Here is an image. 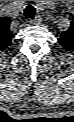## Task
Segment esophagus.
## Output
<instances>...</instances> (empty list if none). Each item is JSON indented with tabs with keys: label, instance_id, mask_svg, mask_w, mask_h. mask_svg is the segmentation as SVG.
<instances>
[{
	"label": "esophagus",
	"instance_id": "esophagus-1",
	"mask_svg": "<svg viewBox=\"0 0 74 122\" xmlns=\"http://www.w3.org/2000/svg\"><path fill=\"white\" fill-rule=\"evenodd\" d=\"M41 21H42L41 17L40 16H36L33 20H30V23L32 25H39V24H41Z\"/></svg>",
	"mask_w": 74,
	"mask_h": 122
}]
</instances>
